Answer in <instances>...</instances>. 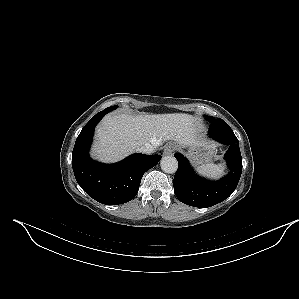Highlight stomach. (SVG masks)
Returning a JSON list of instances; mask_svg holds the SVG:
<instances>
[{"label":"stomach","instance_id":"0dacf381","mask_svg":"<svg viewBox=\"0 0 299 299\" xmlns=\"http://www.w3.org/2000/svg\"><path fill=\"white\" fill-rule=\"evenodd\" d=\"M215 145L210 143L196 144L188 147V156L195 164H203L212 160Z\"/></svg>","mask_w":299,"mask_h":299}]
</instances>
